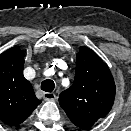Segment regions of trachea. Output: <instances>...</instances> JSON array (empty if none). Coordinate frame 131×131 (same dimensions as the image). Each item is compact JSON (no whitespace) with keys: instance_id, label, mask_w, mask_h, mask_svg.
I'll use <instances>...</instances> for the list:
<instances>
[{"instance_id":"obj_1","label":"trachea","mask_w":131,"mask_h":131,"mask_svg":"<svg viewBox=\"0 0 131 131\" xmlns=\"http://www.w3.org/2000/svg\"><path fill=\"white\" fill-rule=\"evenodd\" d=\"M55 84L52 80H44L41 84V89L46 92H52L54 90Z\"/></svg>"}]
</instances>
